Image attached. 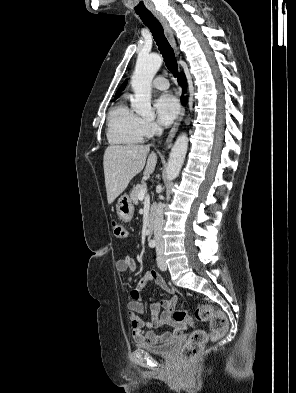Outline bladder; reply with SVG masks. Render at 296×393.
I'll return each instance as SVG.
<instances>
[{
    "mask_svg": "<svg viewBox=\"0 0 296 393\" xmlns=\"http://www.w3.org/2000/svg\"><path fill=\"white\" fill-rule=\"evenodd\" d=\"M176 346L177 341L174 339L162 344L161 346H155L146 342H139L136 344V347L139 350L164 357L172 355Z\"/></svg>",
    "mask_w": 296,
    "mask_h": 393,
    "instance_id": "31cf9c89",
    "label": "bladder"
}]
</instances>
